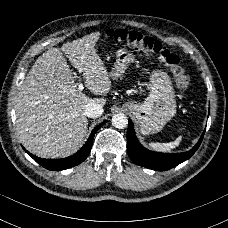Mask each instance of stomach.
Here are the masks:
<instances>
[{"label": "stomach", "mask_w": 228, "mask_h": 228, "mask_svg": "<svg viewBox=\"0 0 228 228\" xmlns=\"http://www.w3.org/2000/svg\"><path fill=\"white\" fill-rule=\"evenodd\" d=\"M111 77L118 79L132 63H140V55L127 48H118ZM150 92L143 103L129 101L122 107L138 121L141 133L159 132L176 113L175 92L171 78L164 71L156 70L149 75Z\"/></svg>", "instance_id": "obj_1"}]
</instances>
